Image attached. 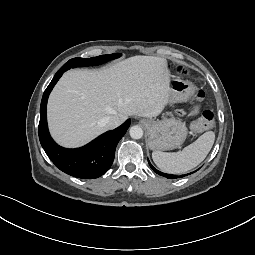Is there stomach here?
I'll use <instances>...</instances> for the list:
<instances>
[{"instance_id": "0dacf381", "label": "stomach", "mask_w": 255, "mask_h": 255, "mask_svg": "<svg viewBox=\"0 0 255 255\" xmlns=\"http://www.w3.org/2000/svg\"><path fill=\"white\" fill-rule=\"evenodd\" d=\"M169 103L187 101L197 90L189 81L176 79L171 83ZM196 107L192 114H197ZM148 133V146L154 151L172 150L180 147L186 140L188 129L184 122L176 118H165L161 121L142 120Z\"/></svg>"}]
</instances>
